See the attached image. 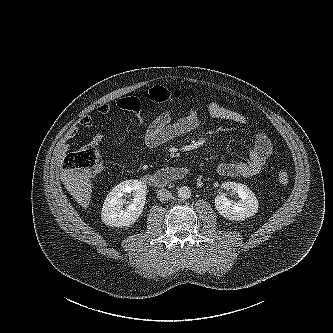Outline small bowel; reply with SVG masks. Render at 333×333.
<instances>
[{
  "label": "small bowel",
  "mask_w": 333,
  "mask_h": 333,
  "mask_svg": "<svg viewBox=\"0 0 333 333\" xmlns=\"http://www.w3.org/2000/svg\"><path fill=\"white\" fill-rule=\"evenodd\" d=\"M116 106L125 111L134 113L141 121V102L137 97H123L116 101ZM111 111L110 104H101L97 107L96 112L99 115H108ZM206 112L209 116L227 120L239 125L248 123V118L241 112L223 107L217 102H211L206 106ZM202 123V113L199 107H191L184 116L176 121L172 120L169 111L165 110L159 113L146 127L143 144L148 149L159 147L181 135L190 133L197 129ZM93 124L91 116H84L80 125L84 128H89ZM79 127H71L64 137L66 145L70 140L74 139L79 133ZM103 141V135L97 133L93 137L94 144H100ZM273 152V146L269 137L259 132L255 135L254 145L249 153V158L246 161L222 162L217 166L218 174L222 176L235 177L243 176L250 177L258 174L266 161L270 158Z\"/></svg>",
  "instance_id": "obj_1"
}]
</instances>
